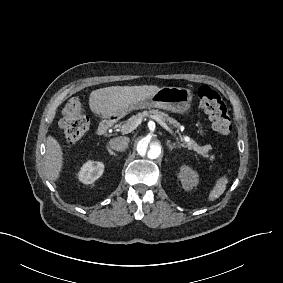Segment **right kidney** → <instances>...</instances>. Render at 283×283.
I'll use <instances>...</instances> for the list:
<instances>
[{"label":"right kidney","mask_w":283,"mask_h":283,"mask_svg":"<svg viewBox=\"0 0 283 283\" xmlns=\"http://www.w3.org/2000/svg\"><path fill=\"white\" fill-rule=\"evenodd\" d=\"M103 173V165L100 162H88L82 167L79 179L86 184L93 183Z\"/></svg>","instance_id":"right-kidney-1"}]
</instances>
